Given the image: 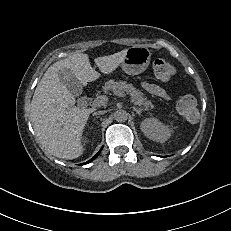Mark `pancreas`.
I'll return each instance as SVG.
<instances>
[{"instance_id": "cf45deb5", "label": "pancreas", "mask_w": 231, "mask_h": 231, "mask_svg": "<svg viewBox=\"0 0 231 231\" xmlns=\"http://www.w3.org/2000/svg\"><path fill=\"white\" fill-rule=\"evenodd\" d=\"M103 91L107 93L108 91H122L126 92L131 96V101L136 105H143L146 110L148 108H153L154 106L152 103L147 100V98L144 97V94L133 87L132 84H128L126 81H114L109 80L105 83V86L103 87Z\"/></svg>"}]
</instances>
